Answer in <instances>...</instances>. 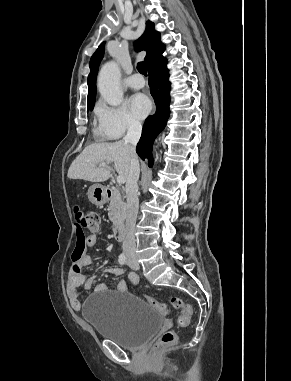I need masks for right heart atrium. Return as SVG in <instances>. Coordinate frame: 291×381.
Here are the masks:
<instances>
[{
  "mask_svg": "<svg viewBox=\"0 0 291 381\" xmlns=\"http://www.w3.org/2000/svg\"><path fill=\"white\" fill-rule=\"evenodd\" d=\"M101 134L108 139L121 138L126 133L141 129L140 120L126 105H109L103 101L96 108Z\"/></svg>",
  "mask_w": 291,
  "mask_h": 381,
  "instance_id": "obj_1",
  "label": "right heart atrium"
}]
</instances>
